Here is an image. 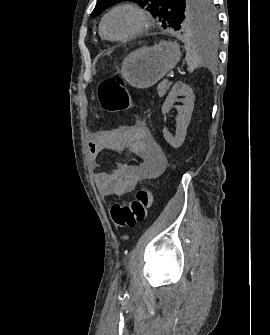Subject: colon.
Instances as JSON below:
<instances>
[{"instance_id":"colon-1","label":"colon","mask_w":270,"mask_h":335,"mask_svg":"<svg viewBox=\"0 0 270 335\" xmlns=\"http://www.w3.org/2000/svg\"><path fill=\"white\" fill-rule=\"evenodd\" d=\"M97 92L101 105L106 110L127 111L132 106V98L121 77L106 79L98 86ZM150 205V192L142 187L129 203L112 202L110 216L118 228H131L146 220Z\"/></svg>"}]
</instances>
